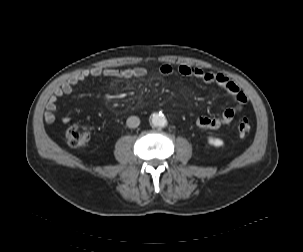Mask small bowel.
<instances>
[{
    "mask_svg": "<svg viewBox=\"0 0 303 252\" xmlns=\"http://www.w3.org/2000/svg\"><path fill=\"white\" fill-rule=\"evenodd\" d=\"M159 71L163 76H170L174 73V67L164 62L160 65ZM178 73L187 78H195L203 81L207 84H215L220 87L228 96L232 97L236 103L235 106L228 107L218 117L198 116L196 118V126L202 129H218L226 124H229L235 115L241 110V108L247 102L246 94L240 89V87L223 74H216L205 71L201 68L192 67L186 64L178 66ZM147 75V70L144 67H134L127 69H114V68H102L93 67L85 69L79 73L73 75L61 85L57 86L46 105L44 113V121L47 124H51L56 120L58 113L57 101L63 96L72 93L74 87L89 78H141ZM71 121V117L68 114L60 116V122L62 124H68Z\"/></svg>",
    "mask_w": 303,
    "mask_h": 252,
    "instance_id": "c3829d8e",
    "label": "small bowel"
}]
</instances>
